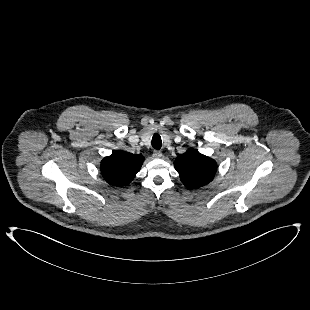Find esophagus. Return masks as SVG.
<instances>
[{
	"mask_svg": "<svg viewBox=\"0 0 310 310\" xmlns=\"http://www.w3.org/2000/svg\"><path fill=\"white\" fill-rule=\"evenodd\" d=\"M153 158L155 159H159L163 156L162 152L161 151H154L153 154H152Z\"/></svg>",
	"mask_w": 310,
	"mask_h": 310,
	"instance_id": "esophagus-1",
	"label": "esophagus"
}]
</instances>
